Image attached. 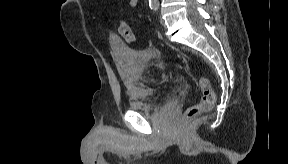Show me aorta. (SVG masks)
Masks as SVG:
<instances>
[{"label": "aorta", "mask_w": 288, "mask_h": 164, "mask_svg": "<svg viewBox=\"0 0 288 164\" xmlns=\"http://www.w3.org/2000/svg\"><path fill=\"white\" fill-rule=\"evenodd\" d=\"M150 6L151 8H158L159 6L158 0H150Z\"/></svg>", "instance_id": "aorta-1"}]
</instances>
